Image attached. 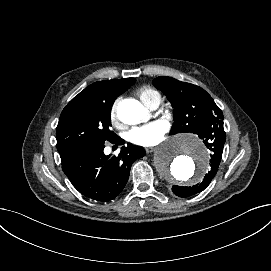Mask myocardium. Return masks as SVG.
Wrapping results in <instances>:
<instances>
[{
  "label": "myocardium",
  "mask_w": 271,
  "mask_h": 271,
  "mask_svg": "<svg viewBox=\"0 0 271 271\" xmlns=\"http://www.w3.org/2000/svg\"><path fill=\"white\" fill-rule=\"evenodd\" d=\"M168 115H169V117H171V116H172V114H171L170 112L168 113Z\"/></svg>",
  "instance_id": "1"
}]
</instances>
